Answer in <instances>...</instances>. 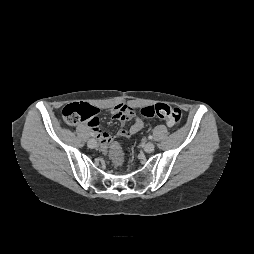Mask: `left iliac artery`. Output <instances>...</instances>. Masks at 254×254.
<instances>
[{
  "instance_id": "44dca946",
  "label": "left iliac artery",
  "mask_w": 254,
  "mask_h": 254,
  "mask_svg": "<svg viewBox=\"0 0 254 254\" xmlns=\"http://www.w3.org/2000/svg\"><path fill=\"white\" fill-rule=\"evenodd\" d=\"M148 138H149V139H152V138H153V136H152V135H149V136H148Z\"/></svg>"
}]
</instances>
